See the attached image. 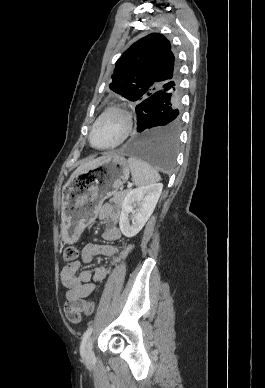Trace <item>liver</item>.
<instances>
[{
    "mask_svg": "<svg viewBox=\"0 0 265 388\" xmlns=\"http://www.w3.org/2000/svg\"><path fill=\"white\" fill-rule=\"evenodd\" d=\"M108 156H117V154H107V156H102V158H96V160H91V162H85V164H81V166H79V168H77V170L73 172L71 180L72 178H76V176H78L80 172H83V170H88V168H92V166H97V164H99L101 160H104V158H108Z\"/></svg>",
    "mask_w": 265,
    "mask_h": 388,
    "instance_id": "liver-1",
    "label": "liver"
}]
</instances>
